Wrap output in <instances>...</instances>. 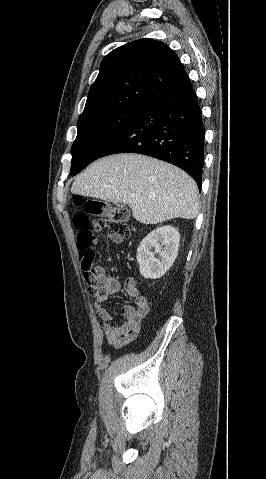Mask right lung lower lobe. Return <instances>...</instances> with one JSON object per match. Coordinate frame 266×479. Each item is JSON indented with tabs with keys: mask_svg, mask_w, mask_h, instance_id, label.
I'll return each instance as SVG.
<instances>
[{
	"mask_svg": "<svg viewBox=\"0 0 266 479\" xmlns=\"http://www.w3.org/2000/svg\"><path fill=\"white\" fill-rule=\"evenodd\" d=\"M204 138L202 112L188 80L153 99L100 157L115 153L155 157L185 170L200 189Z\"/></svg>",
	"mask_w": 266,
	"mask_h": 479,
	"instance_id": "1",
	"label": "right lung lower lobe"
}]
</instances>
